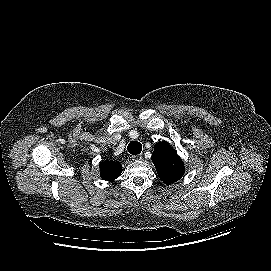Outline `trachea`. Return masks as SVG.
<instances>
[{
  "instance_id": "obj_1",
  "label": "trachea",
  "mask_w": 271,
  "mask_h": 271,
  "mask_svg": "<svg viewBox=\"0 0 271 271\" xmlns=\"http://www.w3.org/2000/svg\"><path fill=\"white\" fill-rule=\"evenodd\" d=\"M127 150L132 155H138L142 151V145L137 141H132L128 144Z\"/></svg>"
}]
</instances>
